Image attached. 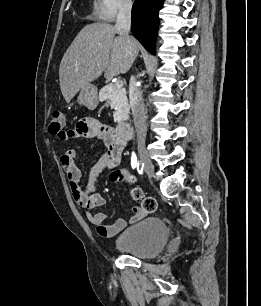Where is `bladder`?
<instances>
[{
	"label": "bladder",
	"instance_id": "obj_1",
	"mask_svg": "<svg viewBox=\"0 0 261 306\" xmlns=\"http://www.w3.org/2000/svg\"><path fill=\"white\" fill-rule=\"evenodd\" d=\"M169 239L166 223L158 217H148L125 228L114 241L115 248L137 258L147 259L162 252Z\"/></svg>",
	"mask_w": 261,
	"mask_h": 306
}]
</instances>
